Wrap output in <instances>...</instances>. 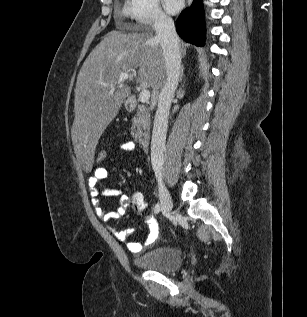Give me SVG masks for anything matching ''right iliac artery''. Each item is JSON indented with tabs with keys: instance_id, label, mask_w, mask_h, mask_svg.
<instances>
[{
	"instance_id": "82829eb1",
	"label": "right iliac artery",
	"mask_w": 307,
	"mask_h": 317,
	"mask_svg": "<svg viewBox=\"0 0 307 317\" xmlns=\"http://www.w3.org/2000/svg\"><path fill=\"white\" fill-rule=\"evenodd\" d=\"M160 210H161V206H160L159 203H157V204L155 205V207H154V212L157 214V213L160 212Z\"/></svg>"
}]
</instances>
